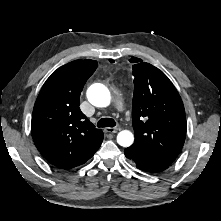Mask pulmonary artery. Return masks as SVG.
<instances>
[{"instance_id":"obj_1","label":"pulmonary artery","mask_w":221,"mask_h":221,"mask_svg":"<svg viewBox=\"0 0 221 221\" xmlns=\"http://www.w3.org/2000/svg\"><path fill=\"white\" fill-rule=\"evenodd\" d=\"M115 107L116 109H118L119 111L124 110V102L122 100V98H117L115 100Z\"/></svg>"}]
</instances>
